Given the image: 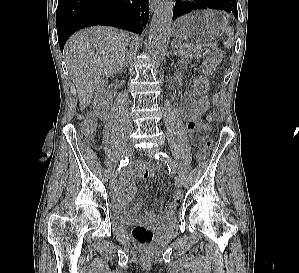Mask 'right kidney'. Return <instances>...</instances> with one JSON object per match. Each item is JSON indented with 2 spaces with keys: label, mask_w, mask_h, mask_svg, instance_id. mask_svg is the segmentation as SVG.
Returning <instances> with one entry per match:
<instances>
[{
  "label": "right kidney",
  "mask_w": 299,
  "mask_h": 273,
  "mask_svg": "<svg viewBox=\"0 0 299 273\" xmlns=\"http://www.w3.org/2000/svg\"><path fill=\"white\" fill-rule=\"evenodd\" d=\"M106 82L103 80L100 83L95 91L93 107L97 110L100 117H103L104 111L109 107L111 104V99L106 94Z\"/></svg>",
  "instance_id": "right-kidney-1"
}]
</instances>
